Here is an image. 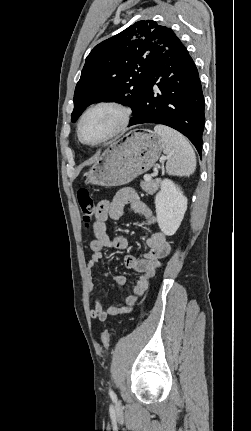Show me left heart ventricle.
Instances as JSON below:
<instances>
[{"label": "left heart ventricle", "instance_id": "b2bd125f", "mask_svg": "<svg viewBox=\"0 0 251 431\" xmlns=\"http://www.w3.org/2000/svg\"><path fill=\"white\" fill-rule=\"evenodd\" d=\"M119 113L111 108H100L90 112L81 128V134L85 141L94 143L106 135L116 126Z\"/></svg>", "mask_w": 251, "mask_h": 431}]
</instances>
